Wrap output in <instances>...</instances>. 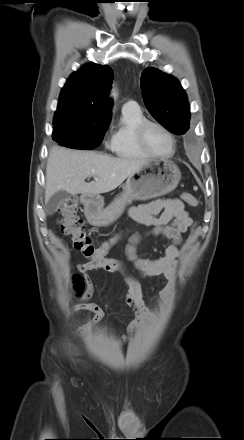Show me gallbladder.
<instances>
[{
  "label": "gallbladder",
  "mask_w": 244,
  "mask_h": 440,
  "mask_svg": "<svg viewBox=\"0 0 244 440\" xmlns=\"http://www.w3.org/2000/svg\"><path fill=\"white\" fill-rule=\"evenodd\" d=\"M69 198V193L64 191V190H60L58 192H56L46 203V213L48 215H52L57 208L65 201Z\"/></svg>",
  "instance_id": "gallbladder-1"
}]
</instances>
